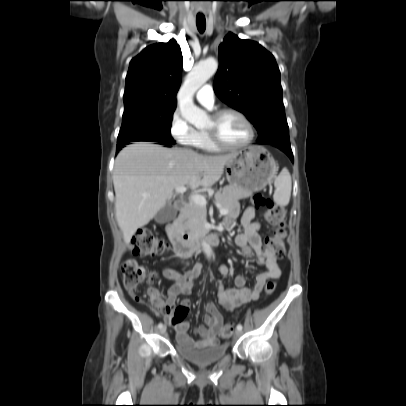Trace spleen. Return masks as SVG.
Wrapping results in <instances>:
<instances>
[{
  "instance_id": "1",
  "label": "spleen",
  "mask_w": 406,
  "mask_h": 406,
  "mask_svg": "<svg viewBox=\"0 0 406 406\" xmlns=\"http://www.w3.org/2000/svg\"><path fill=\"white\" fill-rule=\"evenodd\" d=\"M275 193L274 201L280 206H286L289 203L292 189L291 175L289 171L284 168L274 181Z\"/></svg>"
}]
</instances>
